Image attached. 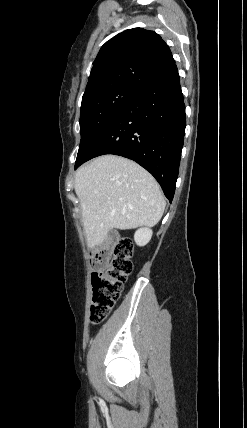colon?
<instances>
[{"mask_svg":"<svg viewBox=\"0 0 247 428\" xmlns=\"http://www.w3.org/2000/svg\"><path fill=\"white\" fill-rule=\"evenodd\" d=\"M133 247L125 237H118L95 253L94 264L98 271L92 275L93 301L90 320L102 322L115 306L124 283L133 269L131 256Z\"/></svg>","mask_w":247,"mask_h":428,"instance_id":"colon-1","label":"colon"}]
</instances>
